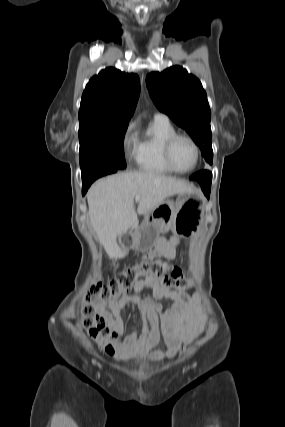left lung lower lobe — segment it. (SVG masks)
Returning <instances> with one entry per match:
<instances>
[{
    "label": "left lung lower lobe",
    "instance_id": "1",
    "mask_svg": "<svg viewBox=\"0 0 285 427\" xmlns=\"http://www.w3.org/2000/svg\"><path fill=\"white\" fill-rule=\"evenodd\" d=\"M190 180H196L200 183L201 188L205 195L209 198L210 196V187L212 181V173L209 171H200L192 176H190Z\"/></svg>",
    "mask_w": 285,
    "mask_h": 427
}]
</instances>
